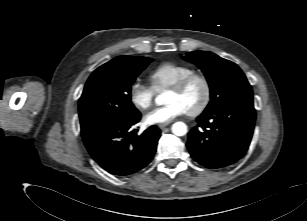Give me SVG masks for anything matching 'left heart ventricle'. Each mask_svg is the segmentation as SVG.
<instances>
[{"label":"left heart ventricle","instance_id":"1","mask_svg":"<svg viewBox=\"0 0 307 221\" xmlns=\"http://www.w3.org/2000/svg\"><path fill=\"white\" fill-rule=\"evenodd\" d=\"M203 96V85L200 82L195 81L182 92L169 90L166 102L170 103L176 101L180 103L186 111H189L195 109L201 103Z\"/></svg>","mask_w":307,"mask_h":221}]
</instances>
